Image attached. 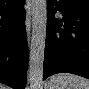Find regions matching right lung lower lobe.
Returning a JSON list of instances; mask_svg holds the SVG:
<instances>
[{
	"label": "right lung lower lobe",
	"mask_w": 89,
	"mask_h": 89,
	"mask_svg": "<svg viewBox=\"0 0 89 89\" xmlns=\"http://www.w3.org/2000/svg\"><path fill=\"white\" fill-rule=\"evenodd\" d=\"M24 0H0V82L24 89L28 64Z\"/></svg>",
	"instance_id": "98d812e1"
}]
</instances>
